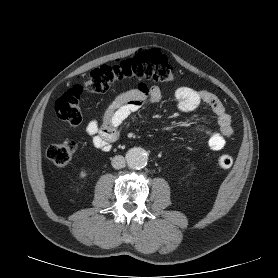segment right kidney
<instances>
[{
  "label": "right kidney",
  "mask_w": 278,
  "mask_h": 278,
  "mask_svg": "<svg viewBox=\"0 0 278 278\" xmlns=\"http://www.w3.org/2000/svg\"><path fill=\"white\" fill-rule=\"evenodd\" d=\"M87 176L86 171H81L80 172V178H85Z\"/></svg>",
  "instance_id": "right-kidney-1"
}]
</instances>
